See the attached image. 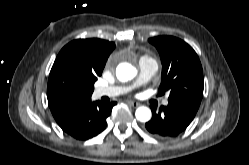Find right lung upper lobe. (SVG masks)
Segmentation results:
<instances>
[{"label":"right lung upper lobe","instance_id":"obj_1","mask_svg":"<svg viewBox=\"0 0 249 165\" xmlns=\"http://www.w3.org/2000/svg\"><path fill=\"white\" fill-rule=\"evenodd\" d=\"M115 48L102 39H77L62 48L50 71L47 98L51 112L91 99L94 83Z\"/></svg>","mask_w":249,"mask_h":165}]
</instances>
